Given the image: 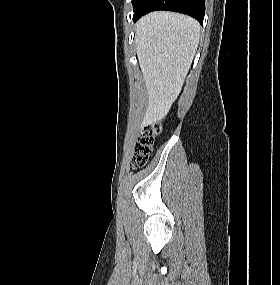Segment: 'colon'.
Masks as SVG:
<instances>
[{"label": "colon", "instance_id": "obj_1", "mask_svg": "<svg viewBox=\"0 0 280 285\" xmlns=\"http://www.w3.org/2000/svg\"><path fill=\"white\" fill-rule=\"evenodd\" d=\"M159 132L160 126L158 124L148 125L143 128L132 155V163L135 168H141L147 163Z\"/></svg>", "mask_w": 280, "mask_h": 285}]
</instances>
